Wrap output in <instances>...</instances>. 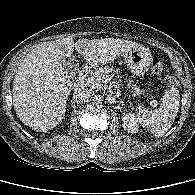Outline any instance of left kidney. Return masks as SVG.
<instances>
[{
  "instance_id": "obj_1",
  "label": "left kidney",
  "mask_w": 195,
  "mask_h": 195,
  "mask_svg": "<svg viewBox=\"0 0 195 195\" xmlns=\"http://www.w3.org/2000/svg\"><path fill=\"white\" fill-rule=\"evenodd\" d=\"M122 126L128 133L134 134L138 132V119L134 113H128L122 118Z\"/></svg>"
}]
</instances>
